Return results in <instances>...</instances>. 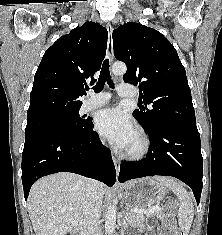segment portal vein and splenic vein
<instances>
[{
    "mask_svg": "<svg viewBox=\"0 0 222 235\" xmlns=\"http://www.w3.org/2000/svg\"><path fill=\"white\" fill-rule=\"evenodd\" d=\"M158 209H159V206H153V207H150L149 209H139L136 211L142 214H152ZM130 211H135V210H130Z\"/></svg>",
    "mask_w": 222,
    "mask_h": 235,
    "instance_id": "portal-vein-and-splenic-vein-1",
    "label": "portal vein and splenic vein"
}]
</instances>
